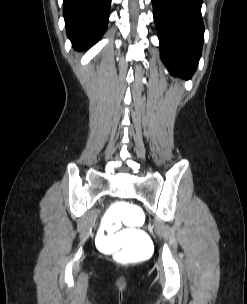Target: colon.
<instances>
[{
  "label": "colon",
  "instance_id": "5ec220e1",
  "mask_svg": "<svg viewBox=\"0 0 247 304\" xmlns=\"http://www.w3.org/2000/svg\"><path fill=\"white\" fill-rule=\"evenodd\" d=\"M97 229L95 244L99 253H119V259H152L155 241L140 229L147 225L140 202H113Z\"/></svg>",
  "mask_w": 247,
  "mask_h": 304
}]
</instances>
